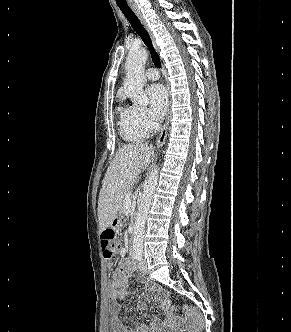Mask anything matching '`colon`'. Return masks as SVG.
Listing matches in <instances>:
<instances>
[{
  "label": "colon",
  "instance_id": "colon-1",
  "mask_svg": "<svg viewBox=\"0 0 291 332\" xmlns=\"http://www.w3.org/2000/svg\"><path fill=\"white\" fill-rule=\"evenodd\" d=\"M101 244L105 258L112 260L117 257L119 242L117 240L116 233L113 229L108 228L102 232ZM169 308L173 310L170 302H169ZM183 311L187 317L185 331L201 332L203 329V319L200 312L190 306H183Z\"/></svg>",
  "mask_w": 291,
  "mask_h": 332
}]
</instances>
